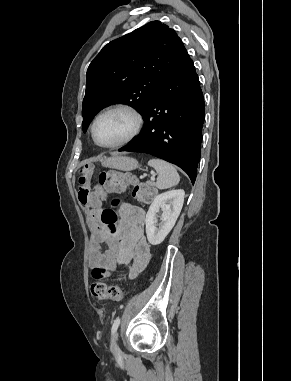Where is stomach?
Wrapping results in <instances>:
<instances>
[{
  "instance_id": "stomach-1",
  "label": "stomach",
  "mask_w": 291,
  "mask_h": 381,
  "mask_svg": "<svg viewBox=\"0 0 291 381\" xmlns=\"http://www.w3.org/2000/svg\"><path fill=\"white\" fill-rule=\"evenodd\" d=\"M102 165L120 171H131L138 167V161L128 156H113L102 161Z\"/></svg>"
}]
</instances>
